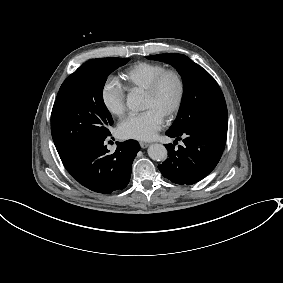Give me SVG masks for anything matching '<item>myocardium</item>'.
Here are the masks:
<instances>
[{
	"label": "myocardium",
	"mask_w": 283,
	"mask_h": 283,
	"mask_svg": "<svg viewBox=\"0 0 283 283\" xmlns=\"http://www.w3.org/2000/svg\"><path fill=\"white\" fill-rule=\"evenodd\" d=\"M173 77L177 84V92L175 99L170 106V108L167 110L164 116L166 117H172L175 113L178 112L180 109L183 97H184V91H185V84L184 79L179 71L176 69H165L162 71L159 75H157L152 82L144 89V93L149 96H154L158 93L160 90V87L163 83V81L167 77Z\"/></svg>",
	"instance_id": "f54148a6"
}]
</instances>
